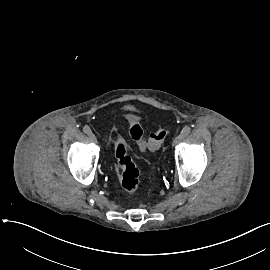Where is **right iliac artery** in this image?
<instances>
[{
	"label": "right iliac artery",
	"instance_id": "obj_1",
	"mask_svg": "<svg viewBox=\"0 0 270 270\" xmlns=\"http://www.w3.org/2000/svg\"><path fill=\"white\" fill-rule=\"evenodd\" d=\"M83 131H84V133H86V134H90V133H91V129H90V127H89L88 125H85V126L83 127Z\"/></svg>",
	"mask_w": 270,
	"mask_h": 270
}]
</instances>
